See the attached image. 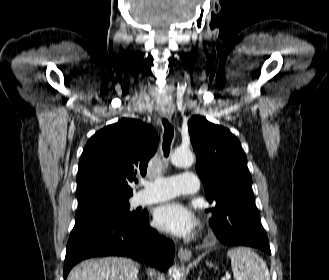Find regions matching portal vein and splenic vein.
<instances>
[{"label":"portal vein and splenic vein","instance_id":"obj_1","mask_svg":"<svg viewBox=\"0 0 329 280\" xmlns=\"http://www.w3.org/2000/svg\"><path fill=\"white\" fill-rule=\"evenodd\" d=\"M230 279V275H227L225 278H223L222 280H229Z\"/></svg>","mask_w":329,"mask_h":280}]
</instances>
